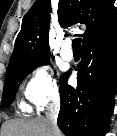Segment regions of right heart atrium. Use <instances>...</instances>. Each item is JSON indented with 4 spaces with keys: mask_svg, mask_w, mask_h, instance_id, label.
<instances>
[{
    "mask_svg": "<svg viewBox=\"0 0 117 136\" xmlns=\"http://www.w3.org/2000/svg\"><path fill=\"white\" fill-rule=\"evenodd\" d=\"M26 99L34 107L43 108L59 97L55 73L45 64L35 67L25 87Z\"/></svg>",
    "mask_w": 117,
    "mask_h": 136,
    "instance_id": "obj_1",
    "label": "right heart atrium"
}]
</instances>
